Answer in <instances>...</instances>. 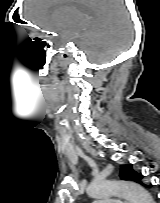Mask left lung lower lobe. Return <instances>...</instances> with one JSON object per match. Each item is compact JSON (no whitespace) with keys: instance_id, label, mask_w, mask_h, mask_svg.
<instances>
[{"instance_id":"obj_1","label":"left lung lower lobe","mask_w":160,"mask_h":203,"mask_svg":"<svg viewBox=\"0 0 160 203\" xmlns=\"http://www.w3.org/2000/svg\"><path fill=\"white\" fill-rule=\"evenodd\" d=\"M146 187H148V188H151L152 187V185L151 184H149V185H145Z\"/></svg>"}]
</instances>
